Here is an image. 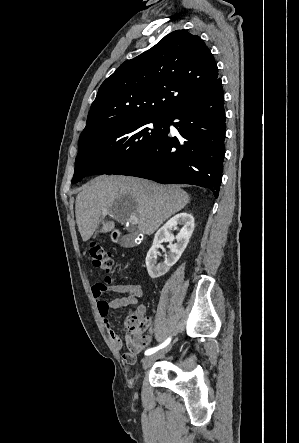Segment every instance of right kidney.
Wrapping results in <instances>:
<instances>
[{"label":"right kidney","instance_id":"obj_1","mask_svg":"<svg viewBox=\"0 0 299 443\" xmlns=\"http://www.w3.org/2000/svg\"><path fill=\"white\" fill-rule=\"evenodd\" d=\"M178 224L182 225V229L178 235L174 237L172 231L177 228ZM193 230V216L188 213H180L168 220L165 225L156 232L152 247L146 256L147 271L152 279L158 278L167 273L170 267L179 260L189 242ZM174 239H176V243L172 244ZM164 241L170 243V253L165 256V260L162 263L157 264V256L159 254L158 249Z\"/></svg>","mask_w":299,"mask_h":443}]
</instances>
